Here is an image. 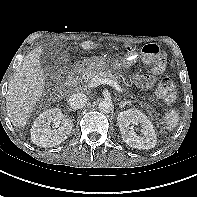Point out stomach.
<instances>
[{
  "label": "stomach",
  "mask_w": 197,
  "mask_h": 197,
  "mask_svg": "<svg viewBox=\"0 0 197 197\" xmlns=\"http://www.w3.org/2000/svg\"><path fill=\"white\" fill-rule=\"evenodd\" d=\"M138 60V54L134 50H130L121 58L114 59L110 62V66L115 70L128 69L133 66ZM104 60L98 57L84 59L82 66L86 70H105L108 67Z\"/></svg>",
  "instance_id": "obj_1"
}]
</instances>
